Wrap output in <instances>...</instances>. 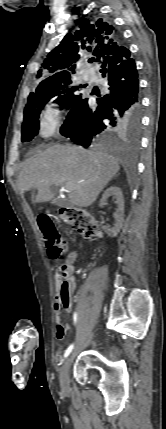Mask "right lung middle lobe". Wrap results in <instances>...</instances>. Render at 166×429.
Masks as SVG:
<instances>
[{
  "label": "right lung middle lobe",
  "instance_id": "obj_1",
  "mask_svg": "<svg viewBox=\"0 0 166 429\" xmlns=\"http://www.w3.org/2000/svg\"><path fill=\"white\" fill-rule=\"evenodd\" d=\"M71 80L52 85H38L35 92L30 93L26 107L24 109V121L22 124V142L31 141L39 130V115L44 105L55 99V103L61 106V109H69L79 98L76 94L78 87L71 85Z\"/></svg>",
  "mask_w": 166,
  "mask_h": 429
}]
</instances>
